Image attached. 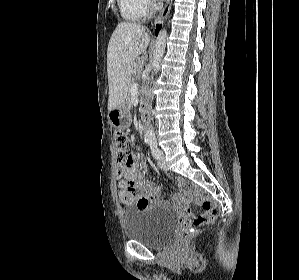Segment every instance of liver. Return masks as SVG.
<instances>
[{"label": "liver", "instance_id": "obj_1", "mask_svg": "<svg viewBox=\"0 0 299 280\" xmlns=\"http://www.w3.org/2000/svg\"><path fill=\"white\" fill-rule=\"evenodd\" d=\"M149 43L150 36L142 25L121 22L115 28L107 50L109 111L125 102L134 61L146 51Z\"/></svg>", "mask_w": 299, "mask_h": 280}]
</instances>
